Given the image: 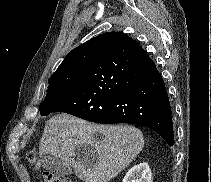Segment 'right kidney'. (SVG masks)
<instances>
[{
    "label": "right kidney",
    "mask_w": 211,
    "mask_h": 182,
    "mask_svg": "<svg viewBox=\"0 0 211 182\" xmlns=\"http://www.w3.org/2000/svg\"><path fill=\"white\" fill-rule=\"evenodd\" d=\"M122 182H152V173L147 163H139L132 167Z\"/></svg>",
    "instance_id": "ca27d5eb"
}]
</instances>
